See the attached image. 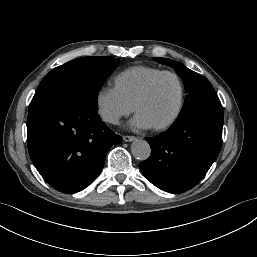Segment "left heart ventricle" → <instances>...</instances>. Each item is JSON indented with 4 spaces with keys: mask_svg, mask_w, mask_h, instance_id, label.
<instances>
[{
    "mask_svg": "<svg viewBox=\"0 0 257 257\" xmlns=\"http://www.w3.org/2000/svg\"><path fill=\"white\" fill-rule=\"evenodd\" d=\"M179 100V86L172 76L162 77L154 86L151 94L137 109L152 126L168 120L174 113Z\"/></svg>",
    "mask_w": 257,
    "mask_h": 257,
    "instance_id": "b2bd125f",
    "label": "left heart ventricle"
}]
</instances>
